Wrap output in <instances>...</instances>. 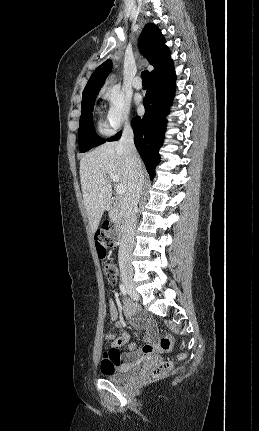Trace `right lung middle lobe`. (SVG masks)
I'll use <instances>...</instances> for the list:
<instances>
[{
    "label": "right lung middle lobe",
    "instance_id": "right-lung-middle-lobe-1",
    "mask_svg": "<svg viewBox=\"0 0 259 431\" xmlns=\"http://www.w3.org/2000/svg\"><path fill=\"white\" fill-rule=\"evenodd\" d=\"M97 94L98 92H92L82 96V114L78 130L79 147L82 153L106 141L96 134L93 125L92 112Z\"/></svg>",
    "mask_w": 259,
    "mask_h": 431
}]
</instances>
